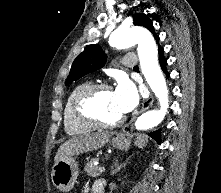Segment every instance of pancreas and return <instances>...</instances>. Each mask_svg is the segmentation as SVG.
<instances>
[{
  "label": "pancreas",
  "mask_w": 221,
  "mask_h": 193,
  "mask_svg": "<svg viewBox=\"0 0 221 193\" xmlns=\"http://www.w3.org/2000/svg\"><path fill=\"white\" fill-rule=\"evenodd\" d=\"M95 161H97L96 158L91 159L90 161L87 162V164L84 167V171L87 172L92 177H97L100 175V173L98 172L99 167L94 165Z\"/></svg>",
  "instance_id": "obj_1"
}]
</instances>
